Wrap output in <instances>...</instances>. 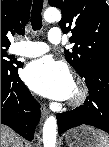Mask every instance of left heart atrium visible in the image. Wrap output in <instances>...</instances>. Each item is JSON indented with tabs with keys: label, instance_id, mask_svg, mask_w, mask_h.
Returning <instances> with one entry per match:
<instances>
[{
	"label": "left heart atrium",
	"instance_id": "obj_1",
	"mask_svg": "<svg viewBox=\"0 0 109 147\" xmlns=\"http://www.w3.org/2000/svg\"><path fill=\"white\" fill-rule=\"evenodd\" d=\"M24 80L33 91L54 100L70 98L74 87L68 66L51 57L29 63L24 70Z\"/></svg>",
	"mask_w": 109,
	"mask_h": 147
}]
</instances>
